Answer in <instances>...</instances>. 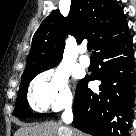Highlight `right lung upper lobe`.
<instances>
[{"label":"right lung upper lobe","mask_w":136,"mask_h":136,"mask_svg":"<svg viewBox=\"0 0 136 136\" xmlns=\"http://www.w3.org/2000/svg\"><path fill=\"white\" fill-rule=\"evenodd\" d=\"M127 29L117 0H73L68 17L55 10L34 34L22 79L55 66L62 59L68 34L77 43L88 39L97 51L129 34Z\"/></svg>","instance_id":"cb5924a9"}]
</instances>
